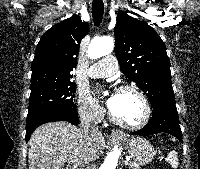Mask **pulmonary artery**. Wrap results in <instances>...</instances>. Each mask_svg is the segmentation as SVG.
Returning <instances> with one entry per match:
<instances>
[{
  "label": "pulmonary artery",
  "mask_w": 200,
  "mask_h": 169,
  "mask_svg": "<svg viewBox=\"0 0 200 169\" xmlns=\"http://www.w3.org/2000/svg\"><path fill=\"white\" fill-rule=\"evenodd\" d=\"M118 69L115 56L107 55L90 67L87 74L93 78L109 77L114 75Z\"/></svg>",
  "instance_id": "e3ab8cb5"
}]
</instances>
